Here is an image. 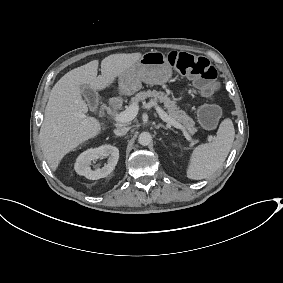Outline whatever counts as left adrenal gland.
<instances>
[{"instance_id":"obj_1","label":"left adrenal gland","mask_w":283,"mask_h":283,"mask_svg":"<svg viewBox=\"0 0 283 283\" xmlns=\"http://www.w3.org/2000/svg\"><path fill=\"white\" fill-rule=\"evenodd\" d=\"M155 128H156L157 130L160 129V128H163V129H165V130H168V129H169L168 127H165V126H163V125H161V124L155 125Z\"/></svg>"}]
</instances>
